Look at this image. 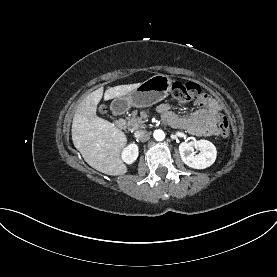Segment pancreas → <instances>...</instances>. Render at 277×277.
Segmentation results:
<instances>
[{"mask_svg": "<svg viewBox=\"0 0 277 277\" xmlns=\"http://www.w3.org/2000/svg\"><path fill=\"white\" fill-rule=\"evenodd\" d=\"M127 125L132 128V130H138L140 128H145L143 124L142 117L137 115V112L132 113V117L127 118Z\"/></svg>", "mask_w": 277, "mask_h": 277, "instance_id": "pancreas-1", "label": "pancreas"}]
</instances>
